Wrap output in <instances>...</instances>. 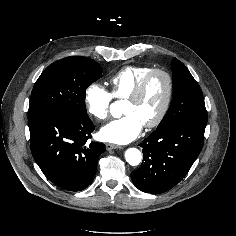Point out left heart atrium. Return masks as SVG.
Masks as SVG:
<instances>
[{
	"instance_id": "1",
	"label": "left heart atrium",
	"mask_w": 236,
	"mask_h": 236,
	"mask_svg": "<svg viewBox=\"0 0 236 236\" xmlns=\"http://www.w3.org/2000/svg\"><path fill=\"white\" fill-rule=\"evenodd\" d=\"M143 125L136 114L130 113L102 127L99 136L103 141L127 144L139 136Z\"/></svg>"
}]
</instances>
